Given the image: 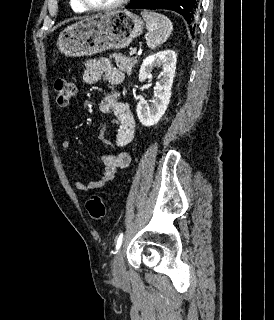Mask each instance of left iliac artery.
Instances as JSON below:
<instances>
[{
	"instance_id": "1",
	"label": "left iliac artery",
	"mask_w": 274,
	"mask_h": 320,
	"mask_svg": "<svg viewBox=\"0 0 274 320\" xmlns=\"http://www.w3.org/2000/svg\"><path fill=\"white\" fill-rule=\"evenodd\" d=\"M122 241H123V233H121L117 239L116 250H119V248L121 247Z\"/></svg>"
}]
</instances>
